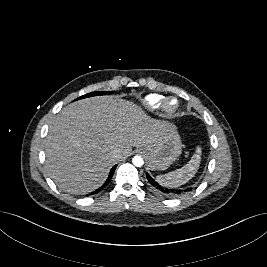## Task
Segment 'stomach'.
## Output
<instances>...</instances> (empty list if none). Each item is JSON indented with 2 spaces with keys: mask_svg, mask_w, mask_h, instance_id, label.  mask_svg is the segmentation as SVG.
I'll return each mask as SVG.
<instances>
[{
  "mask_svg": "<svg viewBox=\"0 0 267 267\" xmlns=\"http://www.w3.org/2000/svg\"><path fill=\"white\" fill-rule=\"evenodd\" d=\"M164 125L163 133L157 143L142 149L151 170L167 169L182 152V142L177 127L168 122H164Z\"/></svg>",
  "mask_w": 267,
  "mask_h": 267,
  "instance_id": "0dacf381",
  "label": "stomach"
}]
</instances>
